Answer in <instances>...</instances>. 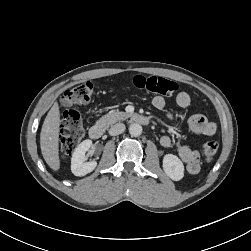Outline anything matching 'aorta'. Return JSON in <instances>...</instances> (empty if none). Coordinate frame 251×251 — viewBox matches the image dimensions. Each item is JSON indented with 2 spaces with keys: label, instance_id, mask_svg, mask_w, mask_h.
Instances as JSON below:
<instances>
[{
  "label": "aorta",
  "instance_id": "obj_1",
  "mask_svg": "<svg viewBox=\"0 0 251 251\" xmlns=\"http://www.w3.org/2000/svg\"><path fill=\"white\" fill-rule=\"evenodd\" d=\"M129 133L131 136L137 137L142 134V126L138 123H133L129 126Z\"/></svg>",
  "mask_w": 251,
  "mask_h": 251
}]
</instances>
